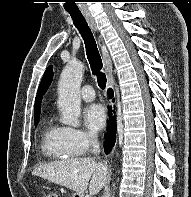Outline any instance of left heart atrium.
Instances as JSON below:
<instances>
[{
    "label": "left heart atrium",
    "mask_w": 191,
    "mask_h": 197,
    "mask_svg": "<svg viewBox=\"0 0 191 197\" xmlns=\"http://www.w3.org/2000/svg\"><path fill=\"white\" fill-rule=\"evenodd\" d=\"M85 125L92 131L101 130L106 122V114L104 108L99 104L89 105L83 114Z\"/></svg>",
    "instance_id": "left-heart-atrium-1"
}]
</instances>
